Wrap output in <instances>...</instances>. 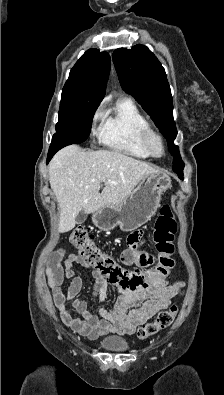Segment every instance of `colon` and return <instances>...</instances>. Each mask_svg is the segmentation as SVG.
Returning a JSON list of instances; mask_svg holds the SVG:
<instances>
[{
    "label": "colon",
    "instance_id": "1",
    "mask_svg": "<svg viewBox=\"0 0 224 395\" xmlns=\"http://www.w3.org/2000/svg\"><path fill=\"white\" fill-rule=\"evenodd\" d=\"M176 232L177 224L173 212L170 206L164 205L160 210L153 232V240L159 258L157 266L150 271L152 280L167 276L174 267V260L171 255L174 252L173 240ZM69 240L79 251L83 260L109 278L110 281L131 291H139L148 287L149 282L144 275L121 267L112 257L98 247L86 229H75L71 232ZM177 313L178 307L171 305L168 309L160 312L155 320L141 326L137 330V337L146 339L169 327Z\"/></svg>",
    "mask_w": 224,
    "mask_h": 395
}]
</instances>
